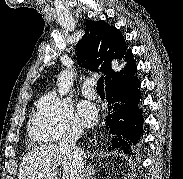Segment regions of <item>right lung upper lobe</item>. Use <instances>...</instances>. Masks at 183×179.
<instances>
[{
	"label": "right lung upper lobe",
	"instance_id": "1",
	"mask_svg": "<svg viewBox=\"0 0 183 179\" xmlns=\"http://www.w3.org/2000/svg\"><path fill=\"white\" fill-rule=\"evenodd\" d=\"M78 64L92 71H102L105 83L112 82L130 72L135 66L131 50H127L125 39L121 32L104 21H86L83 38L77 43ZM125 58L126 68L115 72L116 59Z\"/></svg>",
	"mask_w": 183,
	"mask_h": 179
}]
</instances>
